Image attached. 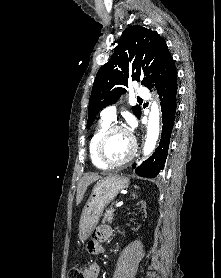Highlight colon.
I'll return each instance as SVG.
<instances>
[{
    "instance_id": "colon-1",
    "label": "colon",
    "mask_w": 221,
    "mask_h": 278,
    "mask_svg": "<svg viewBox=\"0 0 221 278\" xmlns=\"http://www.w3.org/2000/svg\"><path fill=\"white\" fill-rule=\"evenodd\" d=\"M67 278H87V274L85 269L75 266L68 270Z\"/></svg>"
}]
</instances>
